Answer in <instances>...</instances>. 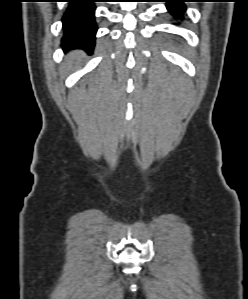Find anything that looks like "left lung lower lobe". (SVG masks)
Wrapping results in <instances>:
<instances>
[{"label":"left lung lower lobe","mask_w":248,"mask_h":299,"mask_svg":"<svg viewBox=\"0 0 248 299\" xmlns=\"http://www.w3.org/2000/svg\"><path fill=\"white\" fill-rule=\"evenodd\" d=\"M187 0H165L167 9L176 17H183V11L186 9L184 2Z\"/></svg>","instance_id":"1"}]
</instances>
